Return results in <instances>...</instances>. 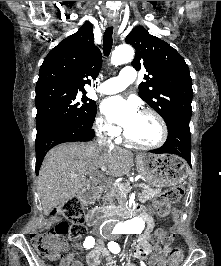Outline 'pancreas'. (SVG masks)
Masks as SVG:
<instances>
[{"instance_id": "cf45deb5", "label": "pancreas", "mask_w": 221, "mask_h": 266, "mask_svg": "<svg viewBox=\"0 0 221 266\" xmlns=\"http://www.w3.org/2000/svg\"><path fill=\"white\" fill-rule=\"evenodd\" d=\"M126 188L130 186L129 182L122 183ZM142 192L138 194V199L141 202L153 199L157 194L160 193V189H152L146 184H140ZM106 198L104 201H108V206L104 207L106 212H110L113 208L122 207L126 201V195L120 191L117 187L111 186L105 188ZM115 201L118 202L119 206L115 205Z\"/></svg>"}]
</instances>
